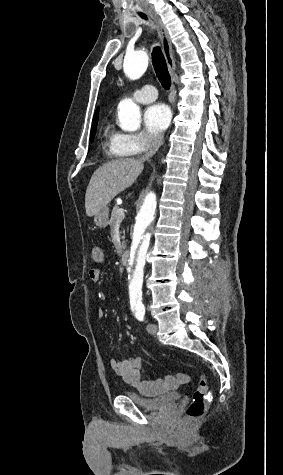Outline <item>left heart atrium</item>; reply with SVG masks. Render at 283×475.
Instances as JSON below:
<instances>
[{
    "label": "left heart atrium",
    "instance_id": "39dd6f15",
    "mask_svg": "<svg viewBox=\"0 0 283 475\" xmlns=\"http://www.w3.org/2000/svg\"><path fill=\"white\" fill-rule=\"evenodd\" d=\"M172 112L168 105L155 103L144 114V123L154 133L164 132L171 124Z\"/></svg>",
    "mask_w": 283,
    "mask_h": 475
}]
</instances>
